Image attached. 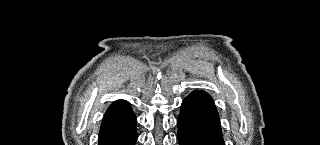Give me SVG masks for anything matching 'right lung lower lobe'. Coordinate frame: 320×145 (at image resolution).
<instances>
[{"instance_id": "1", "label": "right lung lower lobe", "mask_w": 320, "mask_h": 145, "mask_svg": "<svg viewBox=\"0 0 320 145\" xmlns=\"http://www.w3.org/2000/svg\"><path fill=\"white\" fill-rule=\"evenodd\" d=\"M137 119L130 104L117 100L104 114L98 142L99 145H135Z\"/></svg>"}]
</instances>
